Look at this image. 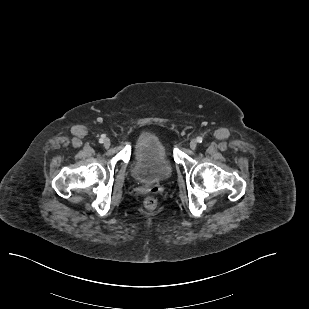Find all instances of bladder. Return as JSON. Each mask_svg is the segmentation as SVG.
<instances>
[{"mask_svg":"<svg viewBox=\"0 0 309 309\" xmlns=\"http://www.w3.org/2000/svg\"><path fill=\"white\" fill-rule=\"evenodd\" d=\"M131 174L136 181L144 184L162 182L172 176V163L157 136L144 135L138 139L134 147Z\"/></svg>","mask_w":309,"mask_h":309,"instance_id":"bladder-1","label":"bladder"}]
</instances>
